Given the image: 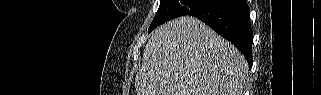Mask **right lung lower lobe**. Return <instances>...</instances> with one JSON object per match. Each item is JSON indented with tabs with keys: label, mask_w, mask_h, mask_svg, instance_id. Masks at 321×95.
<instances>
[{
	"label": "right lung lower lobe",
	"mask_w": 321,
	"mask_h": 95,
	"mask_svg": "<svg viewBox=\"0 0 321 95\" xmlns=\"http://www.w3.org/2000/svg\"><path fill=\"white\" fill-rule=\"evenodd\" d=\"M189 15L197 17L234 44L252 67V28L246 0H211Z\"/></svg>",
	"instance_id": "obj_1"
}]
</instances>
